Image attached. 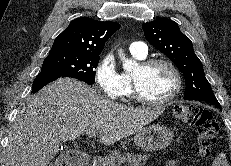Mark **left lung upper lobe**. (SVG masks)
<instances>
[{
  "instance_id": "1",
  "label": "left lung upper lobe",
  "mask_w": 231,
  "mask_h": 166,
  "mask_svg": "<svg viewBox=\"0 0 231 166\" xmlns=\"http://www.w3.org/2000/svg\"><path fill=\"white\" fill-rule=\"evenodd\" d=\"M142 28L147 41L164 53L184 74L186 100L216 99L191 40L180 31L176 22L159 18L142 24Z\"/></svg>"
}]
</instances>
